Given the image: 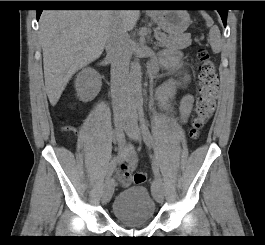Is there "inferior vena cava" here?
<instances>
[{
  "label": "inferior vena cava",
  "mask_w": 265,
  "mask_h": 245,
  "mask_svg": "<svg viewBox=\"0 0 265 245\" xmlns=\"http://www.w3.org/2000/svg\"><path fill=\"white\" fill-rule=\"evenodd\" d=\"M105 49L111 61V95L115 116L127 114L131 109L129 94V64L131 52L127 31L116 20L106 35Z\"/></svg>",
  "instance_id": "1"
}]
</instances>
